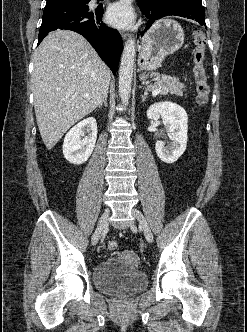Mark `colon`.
I'll return each mask as SVG.
<instances>
[{
	"label": "colon",
	"instance_id": "5ec220e1",
	"mask_svg": "<svg viewBox=\"0 0 247 332\" xmlns=\"http://www.w3.org/2000/svg\"><path fill=\"white\" fill-rule=\"evenodd\" d=\"M194 52H193V77L195 84V101L200 107H203L208 102L209 86L207 83V76L204 68L206 36L201 30H196L193 33ZM109 250L114 251L118 248V243L114 240L108 242Z\"/></svg>",
	"mask_w": 247,
	"mask_h": 332
}]
</instances>
